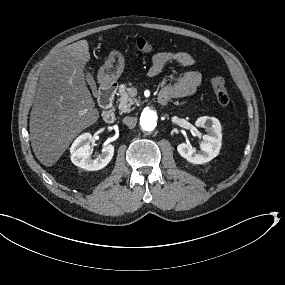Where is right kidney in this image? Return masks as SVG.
I'll use <instances>...</instances> for the list:
<instances>
[{
  "label": "right kidney",
  "instance_id": "ca27d5eb",
  "mask_svg": "<svg viewBox=\"0 0 285 285\" xmlns=\"http://www.w3.org/2000/svg\"><path fill=\"white\" fill-rule=\"evenodd\" d=\"M93 141L90 133L80 135L73 143L71 152V162L77 167L83 168L87 171H98L106 167L112 160L115 146L113 144H107L102 149V153L97 159H92L89 153L91 143Z\"/></svg>",
  "mask_w": 285,
  "mask_h": 285
}]
</instances>
